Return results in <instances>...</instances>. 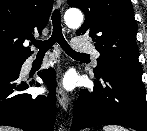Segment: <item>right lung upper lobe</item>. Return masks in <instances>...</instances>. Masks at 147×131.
Masks as SVG:
<instances>
[{"label":"right lung upper lobe","instance_id":"right-lung-upper-lobe-1","mask_svg":"<svg viewBox=\"0 0 147 131\" xmlns=\"http://www.w3.org/2000/svg\"><path fill=\"white\" fill-rule=\"evenodd\" d=\"M53 0H0V59L26 60L33 52L23 45L46 26Z\"/></svg>","mask_w":147,"mask_h":131}]
</instances>
